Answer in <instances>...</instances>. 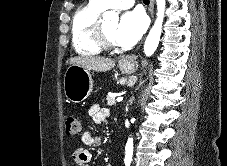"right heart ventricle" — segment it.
Listing matches in <instances>:
<instances>
[{
	"label": "right heart ventricle",
	"instance_id": "right-heart-ventricle-1",
	"mask_svg": "<svg viewBox=\"0 0 227 166\" xmlns=\"http://www.w3.org/2000/svg\"><path fill=\"white\" fill-rule=\"evenodd\" d=\"M104 10L97 2L89 0L75 12L71 23V41L76 53L93 56L101 52L102 48L95 42L92 30Z\"/></svg>",
	"mask_w": 227,
	"mask_h": 166
}]
</instances>
